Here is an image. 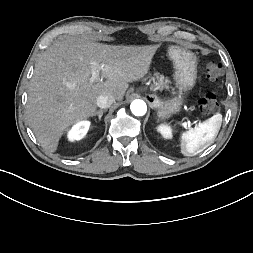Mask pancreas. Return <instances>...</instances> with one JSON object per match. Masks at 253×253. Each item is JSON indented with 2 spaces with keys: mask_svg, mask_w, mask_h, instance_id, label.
Here are the masks:
<instances>
[{
  "mask_svg": "<svg viewBox=\"0 0 253 253\" xmlns=\"http://www.w3.org/2000/svg\"><path fill=\"white\" fill-rule=\"evenodd\" d=\"M151 80L153 82L152 87L159 86L161 88H169V80L159 73H155V75L151 77Z\"/></svg>",
  "mask_w": 253,
  "mask_h": 253,
  "instance_id": "pancreas-1",
  "label": "pancreas"
}]
</instances>
